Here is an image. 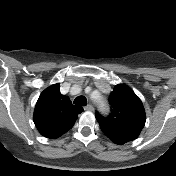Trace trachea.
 Here are the masks:
<instances>
[{"label":"trachea","instance_id":"obj_1","mask_svg":"<svg viewBox=\"0 0 176 176\" xmlns=\"http://www.w3.org/2000/svg\"><path fill=\"white\" fill-rule=\"evenodd\" d=\"M74 104L85 106L87 104L86 98L84 96H78L73 101Z\"/></svg>","mask_w":176,"mask_h":176}]
</instances>
